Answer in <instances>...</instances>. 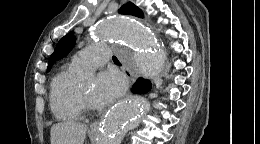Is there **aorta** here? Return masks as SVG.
<instances>
[{
  "label": "aorta",
  "mask_w": 260,
  "mask_h": 144,
  "mask_svg": "<svg viewBox=\"0 0 260 144\" xmlns=\"http://www.w3.org/2000/svg\"><path fill=\"white\" fill-rule=\"evenodd\" d=\"M94 36L97 41L112 39L125 44L129 49L121 50L119 56L139 73L148 77L159 74L164 48L143 22L132 17L108 18L97 25ZM136 51L143 56L137 57ZM84 78L91 81L94 74L86 72ZM147 110L148 101L142 96L129 97L120 102L107 113L96 144H121L126 133L141 123Z\"/></svg>",
  "instance_id": "aorta-1"
}]
</instances>
